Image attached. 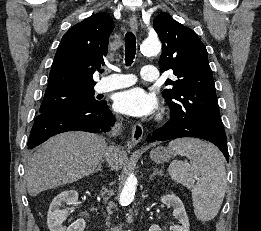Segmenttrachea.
<instances>
[{
    "label": "trachea",
    "instance_id": "1",
    "mask_svg": "<svg viewBox=\"0 0 261 231\" xmlns=\"http://www.w3.org/2000/svg\"><path fill=\"white\" fill-rule=\"evenodd\" d=\"M136 54V38L132 32L125 35V62L131 65Z\"/></svg>",
    "mask_w": 261,
    "mask_h": 231
}]
</instances>
